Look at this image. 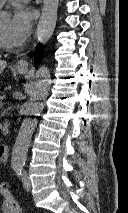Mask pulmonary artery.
<instances>
[{
    "label": "pulmonary artery",
    "instance_id": "obj_1",
    "mask_svg": "<svg viewBox=\"0 0 128 213\" xmlns=\"http://www.w3.org/2000/svg\"><path fill=\"white\" fill-rule=\"evenodd\" d=\"M6 2V0H0V8Z\"/></svg>",
    "mask_w": 128,
    "mask_h": 213
}]
</instances>
